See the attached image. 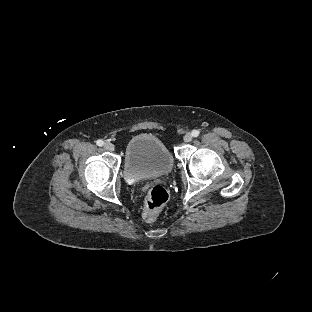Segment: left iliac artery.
<instances>
[{"mask_svg":"<svg viewBox=\"0 0 312 312\" xmlns=\"http://www.w3.org/2000/svg\"><path fill=\"white\" fill-rule=\"evenodd\" d=\"M199 135V131L198 130H193L192 131V136L193 137H197Z\"/></svg>","mask_w":312,"mask_h":312,"instance_id":"44dca946","label":"left iliac artery"}]
</instances>
